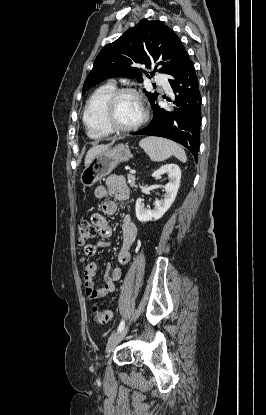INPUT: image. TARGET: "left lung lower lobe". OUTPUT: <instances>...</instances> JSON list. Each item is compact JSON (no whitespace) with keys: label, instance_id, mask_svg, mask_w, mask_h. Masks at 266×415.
I'll return each instance as SVG.
<instances>
[{"label":"left lung lower lobe","instance_id":"0a47b994","mask_svg":"<svg viewBox=\"0 0 266 415\" xmlns=\"http://www.w3.org/2000/svg\"><path fill=\"white\" fill-rule=\"evenodd\" d=\"M175 93L172 108L155 105L153 119L132 135L159 136L185 146L197 161L200 144L201 94L194 65L189 56L169 80Z\"/></svg>","mask_w":266,"mask_h":415}]
</instances>
